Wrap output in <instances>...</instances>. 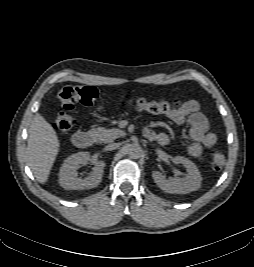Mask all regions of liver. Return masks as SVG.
Wrapping results in <instances>:
<instances>
[{
	"instance_id": "1",
	"label": "liver",
	"mask_w": 254,
	"mask_h": 267,
	"mask_svg": "<svg viewBox=\"0 0 254 267\" xmlns=\"http://www.w3.org/2000/svg\"><path fill=\"white\" fill-rule=\"evenodd\" d=\"M60 142L51 124L36 113L29 127L27 161L41 184L48 181L50 171L59 152Z\"/></svg>"
}]
</instances>
